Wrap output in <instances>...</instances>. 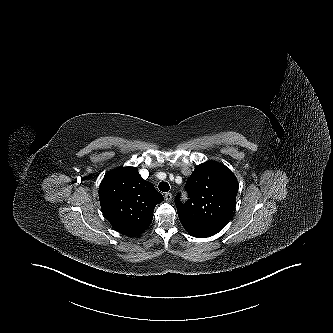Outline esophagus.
<instances>
[{"mask_svg": "<svg viewBox=\"0 0 333 333\" xmlns=\"http://www.w3.org/2000/svg\"><path fill=\"white\" fill-rule=\"evenodd\" d=\"M165 199H166V201H168V202H170L171 200H172V194L171 193H166L165 194Z\"/></svg>", "mask_w": 333, "mask_h": 333, "instance_id": "esophagus-1", "label": "esophagus"}]
</instances>
